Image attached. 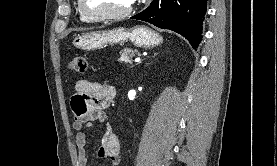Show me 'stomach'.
Wrapping results in <instances>:
<instances>
[{"instance_id": "obj_1", "label": "stomach", "mask_w": 277, "mask_h": 166, "mask_svg": "<svg viewBox=\"0 0 277 166\" xmlns=\"http://www.w3.org/2000/svg\"><path fill=\"white\" fill-rule=\"evenodd\" d=\"M131 41L138 47H154L162 43V37L145 26H135L131 29L123 27L93 31L87 34L75 36L73 45L82 50H96L106 45L122 44Z\"/></svg>"}]
</instances>
